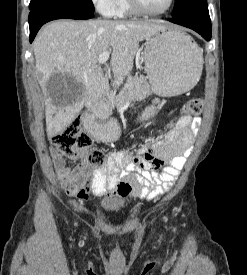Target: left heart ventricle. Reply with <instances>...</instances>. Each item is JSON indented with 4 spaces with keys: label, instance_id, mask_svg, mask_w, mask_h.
Wrapping results in <instances>:
<instances>
[{
    "label": "left heart ventricle",
    "instance_id": "b2bd125f",
    "mask_svg": "<svg viewBox=\"0 0 247 275\" xmlns=\"http://www.w3.org/2000/svg\"><path fill=\"white\" fill-rule=\"evenodd\" d=\"M141 1L147 9L152 11L162 10L169 3V0H141Z\"/></svg>",
    "mask_w": 247,
    "mask_h": 275
}]
</instances>
